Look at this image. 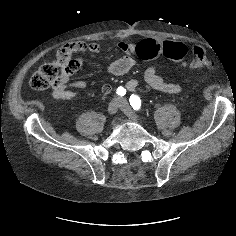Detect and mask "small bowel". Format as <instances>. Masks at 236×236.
Wrapping results in <instances>:
<instances>
[{"instance_id": "c3829d8e", "label": "small bowel", "mask_w": 236, "mask_h": 236, "mask_svg": "<svg viewBox=\"0 0 236 236\" xmlns=\"http://www.w3.org/2000/svg\"><path fill=\"white\" fill-rule=\"evenodd\" d=\"M144 41H150L154 44H159L160 42L153 39H146ZM131 43L120 41L118 43V48L124 53V55L118 60L112 62L107 71L112 75H123L129 72L135 65L136 61L134 59V54H137V49L142 43ZM64 48L71 54H81V53H92L97 54L100 51V45L96 42L86 43L83 41L71 42L64 46ZM83 65V58H72L70 65L64 72L61 81L54 85L51 92V96L54 99H71L76 97L81 92H84L88 85L84 80L71 81V76L77 72ZM145 82L153 89L169 93V94H179L183 91V87L180 84L167 82L157 73L155 66H149L144 73ZM126 89L128 91H134L140 87V82L136 79L129 80L126 83ZM102 93L108 95L112 91V86L110 84H104L101 88Z\"/></svg>"}]
</instances>
